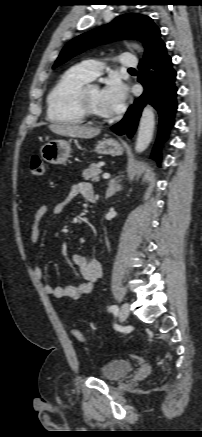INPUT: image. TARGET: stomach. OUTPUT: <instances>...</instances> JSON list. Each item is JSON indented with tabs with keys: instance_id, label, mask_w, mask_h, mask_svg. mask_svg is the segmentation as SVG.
<instances>
[{
	"instance_id": "stomach-1",
	"label": "stomach",
	"mask_w": 202,
	"mask_h": 437,
	"mask_svg": "<svg viewBox=\"0 0 202 437\" xmlns=\"http://www.w3.org/2000/svg\"><path fill=\"white\" fill-rule=\"evenodd\" d=\"M122 145L112 139H103L96 144L95 152L102 155L120 156L123 154ZM71 153V145L65 140H53L46 143L41 148V157L51 164H62Z\"/></svg>"
}]
</instances>
